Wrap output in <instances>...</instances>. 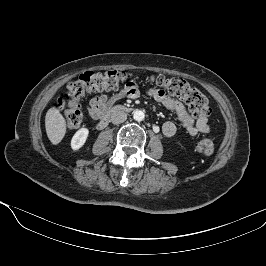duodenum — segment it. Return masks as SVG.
Wrapping results in <instances>:
<instances>
[{
	"instance_id": "obj_1",
	"label": "duodenum",
	"mask_w": 266,
	"mask_h": 266,
	"mask_svg": "<svg viewBox=\"0 0 266 266\" xmlns=\"http://www.w3.org/2000/svg\"><path fill=\"white\" fill-rule=\"evenodd\" d=\"M128 111H130V108L123 106V105H114V106L108 107L106 111L104 112L103 116L101 117V119L99 120L97 127L99 129L104 128L108 124L109 119L111 118L112 115L116 113L128 112Z\"/></svg>"
}]
</instances>
